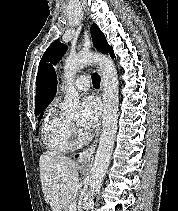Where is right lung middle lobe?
<instances>
[{
    "label": "right lung middle lobe",
    "mask_w": 178,
    "mask_h": 211,
    "mask_svg": "<svg viewBox=\"0 0 178 211\" xmlns=\"http://www.w3.org/2000/svg\"><path fill=\"white\" fill-rule=\"evenodd\" d=\"M41 112H42V111L35 112V115H38V114H40ZM41 117H42V115L39 117V121H40Z\"/></svg>",
    "instance_id": "right-lung-middle-lobe-1"
}]
</instances>
